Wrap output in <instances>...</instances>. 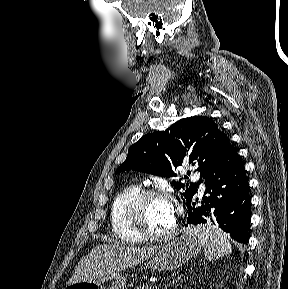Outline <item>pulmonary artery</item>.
<instances>
[{
    "label": "pulmonary artery",
    "instance_id": "obj_1",
    "mask_svg": "<svg viewBox=\"0 0 288 289\" xmlns=\"http://www.w3.org/2000/svg\"><path fill=\"white\" fill-rule=\"evenodd\" d=\"M193 179H194L195 181H198V180H200V177H199L198 174H195V175L193 176ZM199 190H200V192H203V191L205 190V185H204V183H203L201 180H200Z\"/></svg>",
    "mask_w": 288,
    "mask_h": 289
}]
</instances>
